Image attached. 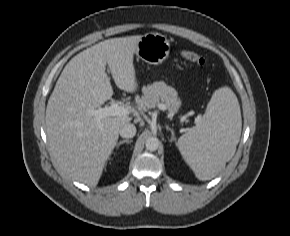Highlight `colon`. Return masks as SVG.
<instances>
[{
  "mask_svg": "<svg viewBox=\"0 0 290 236\" xmlns=\"http://www.w3.org/2000/svg\"><path fill=\"white\" fill-rule=\"evenodd\" d=\"M182 56L187 61L192 62L196 65L203 66L205 64V59L194 51L191 50L183 51Z\"/></svg>",
  "mask_w": 290,
  "mask_h": 236,
  "instance_id": "1",
  "label": "colon"
}]
</instances>
